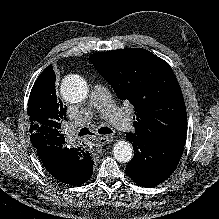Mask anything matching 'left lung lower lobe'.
Returning a JSON list of instances; mask_svg holds the SVG:
<instances>
[{
	"label": "left lung lower lobe",
	"instance_id": "left-lung-lower-lobe-1",
	"mask_svg": "<svg viewBox=\"0 0 219 219\" xmlns=\"http://www.w3.org/2000/svg\"><path fill=\"white\" fill-rule=\"evenodd\" d=\"M133 145V160L126 166V173L143 187H154L165 181L176 169L184 146L168 145L155 139L126 135Z\"/></svg>",
	"mask_w": 219,
	"mask_h": 219
}]
</instances>
